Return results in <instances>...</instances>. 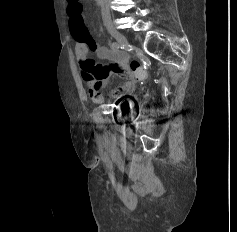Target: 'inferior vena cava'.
I'll return each mask as SVG.
<instances>
[{"instance_id": "602c4592", "label": "inferior vena cava", "mask_w": 237, "mask_h": 232, "mask_svg": "<svg viewBox=\"0 0 237 232\" xmlns=\"http://www.w3.org/2000/svg\"><path fill=\"white\" fill-rule=\"evenodd\" d=\"M101 6V14L104 22L110 21V0H97Z\"/></svg>"}]
</instances>
